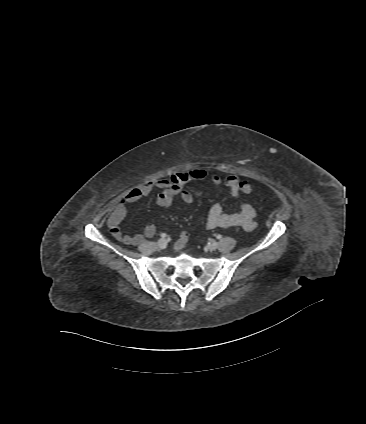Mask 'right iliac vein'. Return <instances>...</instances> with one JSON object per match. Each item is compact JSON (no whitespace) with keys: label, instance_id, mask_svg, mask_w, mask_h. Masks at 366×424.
Listing matches in <instances>:
<instances>
[{"label":"right iliac vein","instance_id":"obj_1","mask_svg":"<svg viewBox=\"0 0 366 424\" xmlns=\"http://www.w3.org/2000/svg\"><path fill=\"white\" fill-rule=\"evenodd\" d=\"M157 245L159 248L164 249L167 246V241L164 238H161L158 242Z\"/></svg>","mask_w":366,"mask_h":424}]
</instances>
